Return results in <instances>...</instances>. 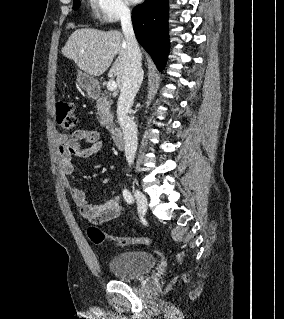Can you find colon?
Returning a JSON list of instances; mask_svg holds the SVG:
<instances>
[{"instance_id": "obj_1", "label": "colon", "mask_w": 284, "mask_h": 319, "mask_svg": "<svg viewBox=\"0 0 284 319\" xmlns=\"http://www.w3.org/2000/svg\"><path fill=\"white\" fill-rule=\"evenodd\" d=\"M56 122L65 132L72 131L76 126L74 105L65 98L58 100L56 103ZM87 234L89 239L95 244H102L108 239L119 246L148 245L151 242V240L147 237L108 238L106 234L96 226L89 227Z\"/></svg>"}]
</instances>
